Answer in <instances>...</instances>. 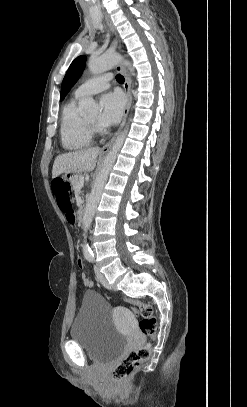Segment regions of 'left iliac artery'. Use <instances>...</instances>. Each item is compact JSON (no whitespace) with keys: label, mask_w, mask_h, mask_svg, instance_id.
Returning a JSON list of instances; mask_svg holds the SVG:
<instances>
[{"label":"left iliac artery","mask_w":247,"mask_h":407,"mask_svg":"<svg viewBox=\"0 0 247 407\" xmlns=\"http://www.w3.org/2000/svg\"><path fill=\"white\" fill-rule=\"evenodd\" d=\"M88 260L91 261V262H93V261H94V256H93V255H89V256H88Z\"/></svg>","instance_id":"obj_1"}]
</instances>
